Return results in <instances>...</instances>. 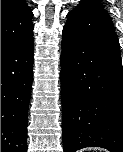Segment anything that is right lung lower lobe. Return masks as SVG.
<instances>
[{"mask_svg":"<svg viewBox=\"0 0 123 152\" xmlns=\"http://www.w3.org/2000/svg\"><path fill=\"white\" fill-rule=\"evenodd\" d=\"M33 32L1 44V152H27Z\"/></svg>","mask_w":123,"mask_h":152,"instance_id":"obj_1","label":"right lung lower lobe"}]
</instances>
